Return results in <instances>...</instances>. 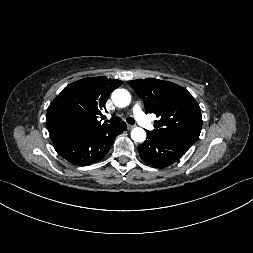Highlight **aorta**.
I'll list each match as a JSON object with an SVG mask.
<instances>
[{"label": "aorta", "instance_id": "obj_1", "mask_svg": "<svg viewBox=\"0 0 253 253\" xmlns=\"http://www.w3.org/2000/svg\"><path fill=\"white\" fill-rule=\"evenodd\" d=\"M112 101L118 107H126L131 102V95L125 89H116L112 93ZM131 138L135 142H144L146 139V132L144 129L136 127L131 131Z\"/></svg>", "mask_w": 253, "mask_h": 253}]
</instances>
